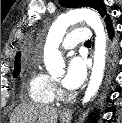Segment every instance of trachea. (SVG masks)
<instances>
[{
  "label": "trachea",
  "instance_id": "trachea-1",
  "mask_svg": "<svg viewBox=\"0 0 122 123\" xmlns=\"http://www.w3.org/2000/svg\"><path fill=\"white\" fill-rule=\"evenodd\" d=\"M85 45H86V46H90V45H91V41L88 40L87 42H85Z\"/></svg>",
  "mask_w": 122,
  "mask_h": 123
}]
</instances>
